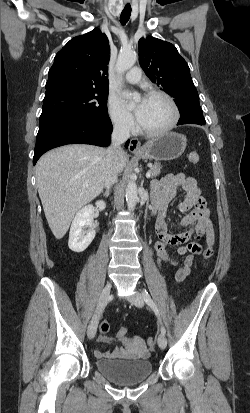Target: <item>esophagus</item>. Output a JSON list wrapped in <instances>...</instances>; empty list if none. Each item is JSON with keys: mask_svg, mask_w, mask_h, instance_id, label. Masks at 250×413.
<instances>
[{"mask_svg": "<svg viewBox=\"0 0 250 413\" xmlns=\"http://www.w3.org/2000/svg\"><path fill=\"white\" fill-rule=\"evenodd\" d=\"M128 148H129V151L132 153H139L143 150L141 142L136 138H133L130 140Z\"/></svg>", "mask_w": 250, "mask_h": 413, "instance_id": "esophagus-1", "label": "esophagus"}]
</instances>
